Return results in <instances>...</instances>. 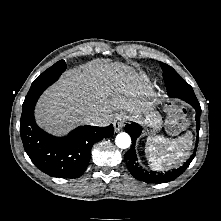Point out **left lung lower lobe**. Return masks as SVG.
I'll return each mask as SVG.
<instances>
[{"label":"left lung lower lobe","mask_w":221,"mask_h":221,"mask_svg":"<svg viewBox=\"0 0 221 221\" xmlns=\"http://www.w3.org/2000/svg\"><path fill=\"white\" fill-rule=\"evenodd\" d=\"M167 88L168 95L172 98H179L189 103L196 110V130H197V140L196 146L193 155L189 158V160L180 168L174 169L172 172L159 173L153 171H146L139 163H137V157L135 153V142L136 139L140 136L142 128L136 123H132L130 125L125 126V131L130 134L132 138V146L130 150L124 155V159L126 161L127 167L130 173L138 180L143 182L150 183H165L170 182L181 175L185 169L189 166L193 158L195 157L197 145H198V136H199V128H200V115H201V107L200 104L194 94L192 87L183 79H179L174 82V84L169 85Z\"/></svg>","instance_id":"1"}]
</instances>
